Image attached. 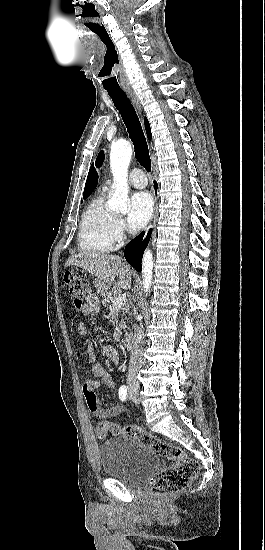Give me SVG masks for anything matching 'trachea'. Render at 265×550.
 Masks as SVG:
<instances>
[{
  "label": "trachea",
  "instance_id": "1",
  "mask_svg": "<svg viewBox=\"0 0 265 550\" xmlns=\"http://www.w3.org/2000/svg\"><path fill=\"white\" fill-rule=\"evenodd\" d=\"M108 94L112 98L115 107L118 109L124 124L126 125L129 137L134 145L135 155L138 162L148 172H150L151 159L149 156L146 138L131 101L123 91H108Z\"/></svg>",
  "mask_w": 265,
  "mask_h": 550
}]
</instances>
